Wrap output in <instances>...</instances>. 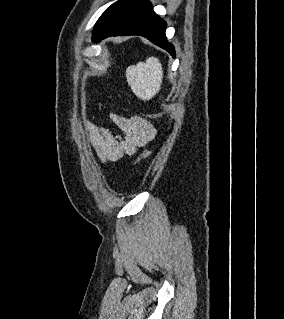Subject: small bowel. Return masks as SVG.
<instances>
[{
  "mask_svg": "<svg viewBox=\"0 0 284 319\" xmlns=\"http://www.w3.org/2000/svg\"><path fill=\"white\" fill-rule=\"evenodd\" d=\"M110 120L120 130V135L108 128L86 123L91 144L102 163L115 162L126 155H133L157 134L152 123L140 116L123 117L111 114Z\"/></svg>",
  "mask_w": 284,
  "mask_h": 319,
  "instance_id": "1",
  "label": "small bowel"
}]
</instances>
